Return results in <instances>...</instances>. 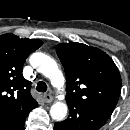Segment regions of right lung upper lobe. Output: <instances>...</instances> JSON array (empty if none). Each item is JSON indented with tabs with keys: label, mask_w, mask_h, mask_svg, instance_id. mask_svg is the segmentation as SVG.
Returning a JSON list of instances; mask_svg holds the SVG:
<instances>
[{
	"label": "right lung upper lobe",
	"mask_w": 130,
	"mask_h": 130,
	"mask_svg": "<svg viewBox=\"0 0 130 130\" xmlns=\"http://www.w3.org/2000/svg\"><path fill=\"white\" fill-rule=\"evenodd\" d=\"M42 44L41 40L20 39L11 33L0 35V129L22 120L37 106L22 67Z\"/></svg>",
	"instance_id": "right-lung-upper-lobe-1"
}]
</instances>
